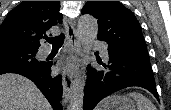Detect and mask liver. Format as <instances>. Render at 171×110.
<instances>
[{"instance_id": "6515ba94", "label": "liver", "mask_w": 171, "mask_h": 110, "mask_svg": "<svg viewBox=\"0 0 171 110\" xmlns=\"http://www.w3.org/2000/svg\"><path fill=\"white\" fill-rule=\"evenodd\" d=\"M0 110H52L49 102L24 76L0 75Z\"/></svg>"}]
</instances>
